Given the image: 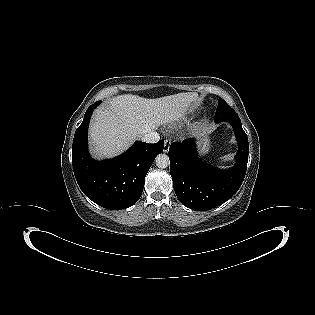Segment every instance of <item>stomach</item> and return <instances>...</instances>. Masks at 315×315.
Segmentation results:
<instances>
[{"label":"stomach","instance_id":"obj_1","mask_svg":"<svg viewBox=\"0 0 315 315\" xmlns=\"http://www.w3.org/2000/svg\"><path fill=\"white\" fill-rule=\"evenodd\" d=\"M209 149V140L207 136L201 141V152L206 153Z\"/></svg>","mask_w":315,"mask_h":315}]
</instances>
